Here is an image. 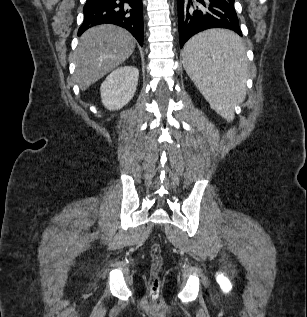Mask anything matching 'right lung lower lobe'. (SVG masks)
<instances>
[{"label":"right lung lower lobe","instance_id":"right-lung-lower-lobe-1","mask_svg":"<svg viewBox=\"0 0 307 317\" xmlns=\"http://www.w3.org/2000/svg\"><path fill=\"white\" fill-rule=\"evenodd\" d=\"M83 13L78 35L95 25L109 23L127 29L143 45L142 0H87Z\"/></svg>","mask_w":307,"mask_h":317}]
</instances>
